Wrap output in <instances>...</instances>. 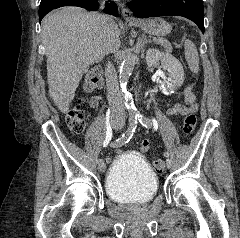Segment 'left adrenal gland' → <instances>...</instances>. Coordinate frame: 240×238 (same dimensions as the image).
Masks as SVG:
<instances>
[{
  "mask_svg": "<svg viewBox=\"0 0 240 238\" xmlns=\"http://www.w3.org/2000/svg\"><path fill=\"white\" fill-rule=\"evenodd\" d=\"M151 42H152L151 40L146 38V35H144V34L142 35V38L139 41V47H140V49H142V52H143V48H144L145 44L151 43Z\"/></svg>",
  "mask_w": 240,
  "mask_h": 238,
  "instance_id": "left-adrenal-gland-1",
  "label": "left adrenal gland"
}]
</instances>
